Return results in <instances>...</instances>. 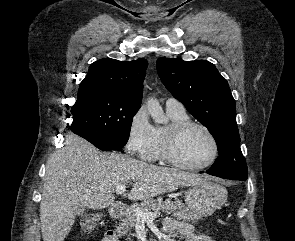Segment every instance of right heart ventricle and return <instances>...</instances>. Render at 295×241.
Returning a JSON list of instances; mask_svg holds the SVG:
<instances>
[{
    "instance_id": "1",
    "label": "right heart ventricle",
    "mask_w": 295,
    "mask_h": 241,
    "mask_svg": "<svg viewBox=\"0 0 295 241\" xmlns=\"http://www.w3.org/2000/svg\"><path fill=\"white\" fill-rule=\"evenodd\" d=\"M167 114H168L172 123L190 120L186 111L167 109ZM166 128L167 127L154 128V137H153L152 145H151L149 151L147 152V154L144 156L147 160L154 161V160H159L162 158L161 157V142H162V137H163V134H164V131Z\"/></svg>"
}]
</instances>
